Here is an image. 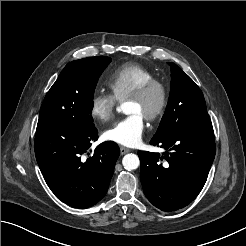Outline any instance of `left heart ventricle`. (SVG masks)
Here are the masks:
<instances>
[{
    "label": "left heart ventricle",
    "mask_w": 246,
    "mask_h": 246,
    "mask_svg": "<svg viewBox=\"0 0 246 246\" xmlns=\"http://www.w3.org/2000/svg\"><path fill=\"white\" fill-rule=\"evenodd\" d=\"M159 102V93L158 91H153L150 96L143 102L128 100L126 103V112L139 113L143 117L153 111Z\"/></svg>",
    "instance_id": "b2bd125f"
}]
</instances>
